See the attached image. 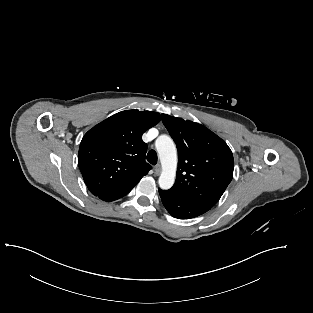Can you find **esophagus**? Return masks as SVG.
I'll return each mask as SVG.
<instances>
[{
    "label": "esophagus",
    "instance_id": "1",
    "mask_svg": "<svg viewBox=\"0 0 313 313\" xmlns=\"http://www.w3.org/2000/svg\"><path fill=\"white\" fill-rule=\"evenodd\" d=\"M154 170H155V174H156V175H159L160 172H161V166H160L159 164L156 165L155 168H154Z\"/></svg>",
    "mask_w": 313,
    "mask_h": 313
}]
</instances>
